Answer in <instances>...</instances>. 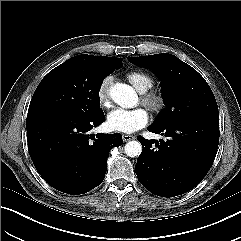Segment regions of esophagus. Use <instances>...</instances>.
<instances>
[{"label": "esophagus", "mask_w": 241, "mask_h": 241, "mask_svg": "<svg viewBox=\"0 0 241 241\" xmlns=\"http://www.w3.org/2000/svg\"><path fill=\"white\" fill-rule=\"evenodd\" d=\"M122 139H123V141L127 142V141L135 139V137L133 135L123 134Z\"/></svg>", "instance_id": "obj_1"}]
</instances>
